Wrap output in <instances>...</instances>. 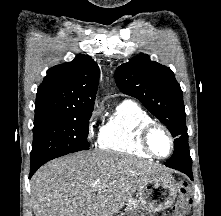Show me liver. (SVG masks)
<instances>
[{"label":"liver","mask_w":221,"mask_h":216,"mask_svg":"<svg viewBox=\"0 0 221 216\" xmlns=\"http://www.w3.org/2000/svg\"><path fill=\"white\" fill-rule=\"evenodd\" d=\"M159 164L99 150L54 159L31 179L35 216H113Z\"/></svg>","instance_id":"1"}]
</instances>
